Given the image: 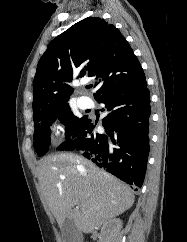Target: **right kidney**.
Instances as JSON below:
<instances>
[{"label": "right kidney", "instance_id": "ca27d5eb", "mask_svg": "<svg viewBox=\"0 0 187 242\" xmlns=\"http://www.w3.org/2000/svg\"><path fill=\"white\" fill-rule=\"evenodd\" d=\"M122 228V221L120 219H111L103 225V232L107 235L110 242L114 234H116Z\"/></svg>", "mask_w": 187, "mask_h": 242}]
</instances>
